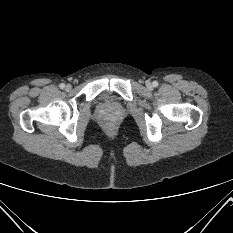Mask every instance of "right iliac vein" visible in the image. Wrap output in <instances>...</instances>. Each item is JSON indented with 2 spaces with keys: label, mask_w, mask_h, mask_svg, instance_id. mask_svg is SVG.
<instances>
[{
  "label": "right iliac vein",
  "mask_w": 233,
  "mask_h": 233,
  "mask_svg": "<svg viewBox=\"0 0 233 233\" xmlns=\"http://www.w3.org/2000/svg\"><path fill=\"white\" fill-rule=\"evenodd\" d=\"M71 88H72V86L70 85V84H68V85H66V91H70L71 90Z\"/></svg>",
  "instance_id": "1"
}]
</instances>
